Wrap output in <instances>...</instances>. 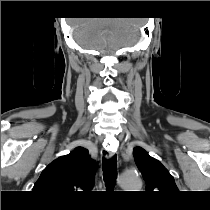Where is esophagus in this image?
Instances as JSON below:
<instances>
[{"label": "esophagus", "mask_w": 210, "mask_h": 210, "mask_svg": "<svg viewBox=\"0 0 210 210\" xmlns=\"http://www.w3.org/2000/svg\"><path fill=\"white\" fill-rule=\"evenodd\" d=\"M114 155H115V152L112 150H109L106 146H104L101 150V158L103 159L112 158Z\"/></svg>", "instance_id": "1"}]
</instances>
